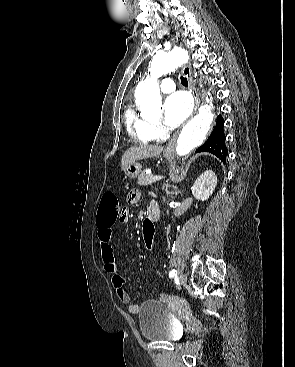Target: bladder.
Segmentation results:
<instances>
[{"label": "bladder", "mask_w": 295, "mask_h": 367, "mask_svg": "<svg viewBox=\"0 0 295 367\" xmlns=\"http://www.w3.org/2000/svg\"><path fill=\"white\" fill-rule=\"evenodd\" d=\"M138 319L141 335L148 341L175 342L182 336L180 322L159 301L143 302L138 311Z\"/></svg>", "instance_id": "bladder-1"}]
</instances>
